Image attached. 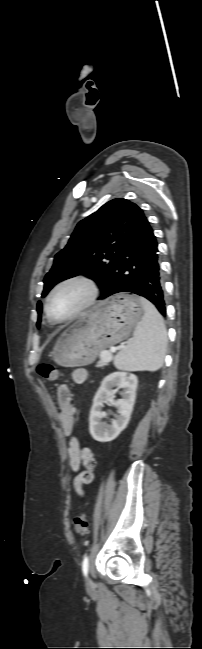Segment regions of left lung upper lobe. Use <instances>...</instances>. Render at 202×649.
Segmentation results:
<instances>
[{
    "instance_id": "1",
    "label": "left lung upper lobe",
    "mask_w": 202,
    "mask_h": 649,
    "mask_svg": "<svg viewBox=\"0 0 202 649\" xmlns=\"http://www.w3.org/2000/svg\"><path fill=\"white\" fill-rule=\"evenodd\" d=\"M144 217L136 204L118 198L80 221L66 247L55 255L54 264L44 278L42 297L58 282L83 273L101 277L106 287L113 278L124 244ZM37 311L39 327L41 302Z\"/></svg>"
}]
</instances>
